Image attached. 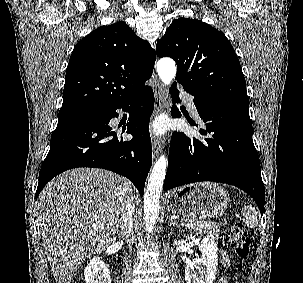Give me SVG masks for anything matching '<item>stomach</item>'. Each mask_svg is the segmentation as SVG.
Listing matches in <instances>:
<instances>
[{"label": "stomach", "instance_id": "0dacf381", "mask_svg": "<svg viewBox=\"0 0 303 283\" xmlns=\"http://www.w3.org/2000/svg\"><path fill=\"white\" fill-rule=\"evenodd\" d=\"M166 203L172 214L191 219H212L224 214L229 196L219 184L204 182L170 191Z\"/></svg>", "mask_w": 303, "mask_h": 283}]
</instances>
